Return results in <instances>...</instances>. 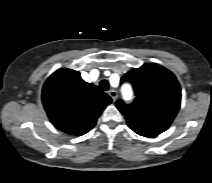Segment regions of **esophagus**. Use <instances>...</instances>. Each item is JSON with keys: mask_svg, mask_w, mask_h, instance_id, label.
I'll return each mask as SVG.
<instances>
[{"mask_svg": "<svg viewBox=\"0 0 212 183\" xmlns=\"http://www.w3.org/2000/svg\"><path fill=\"white\" fill-rule=\"evenodd\" d=\"M108 94H109V96L113 99V101H115V100L117 99V96H118L117 91H115V90H110V91L108 92Z\"/></svg>", "mask_w": 212, "mask_h": 183, "instance_id": "esophagus-1", "label": "esophagus"}]
</instances>
